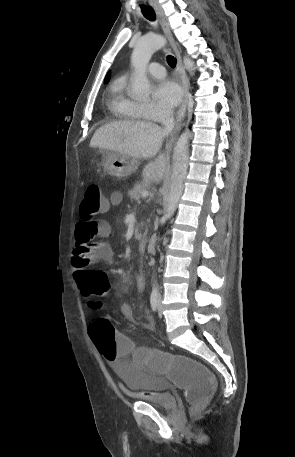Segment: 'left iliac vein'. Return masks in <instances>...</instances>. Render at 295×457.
I'll use <instances>...</instances> for the list:
<instances>
[{"label": "left iliac vein", "mask_w": 295, "mask_h": 457, "mask_svg": "<svg viewBox=\"0 0 295 457\" xmlns=\"http://www.w3.org/2000/svg\"><path fill=\"white\" fill-rule=\"evenodd\" d=\"M158 315H159V317H162V303H161V299H159V303H158Z\"/></svg>", "instance_id": "obj_1"}]
</instances>
